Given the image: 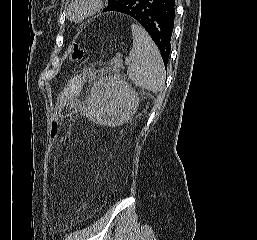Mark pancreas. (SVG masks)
<instances>
[{
	"label": "pancreas",
	"instance_id": "1",
	"mask_svg": "<svg viewBox=\"0 0 257 240\" xmlns=\"http://www.w3.org/2000/svg\"><path fill=\"white\" fill-rule=\"evenodd\" d=\"M111 64L114 65L115 70H119L122 67V62L118 58H113Z\"/></svg>",
	"mask_w": 257,
	"mask_h": 240
}]
</instances>
